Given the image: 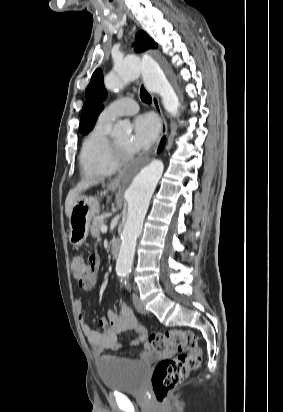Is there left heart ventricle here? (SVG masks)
Listing matches in <instances>:
<instances>
[{
	"label": "left heart ventricle",
	"instance_id": "1",
	"mask_svg": "<svg viewBox=\"0 0 283 412\" xmlns=\"http://www.w3.org/2000/svg\"><path fill=\"white\" fill-rule=\"evenodd\" d=\"M119 146L127 153H132V151L130 150V140H131V136L129 134H125V135H121L117 138L114 139Z\"/></svg>",
	"mask_w": 283,
	"mask_h": 412
}]
</instances>
